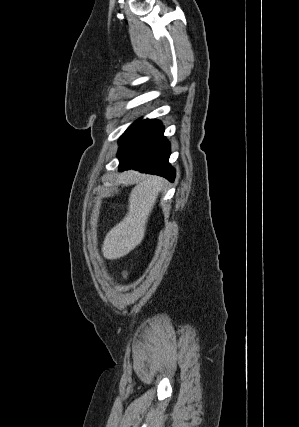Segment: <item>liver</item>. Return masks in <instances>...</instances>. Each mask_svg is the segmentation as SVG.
I'll use <instances>...</instances> for the list:
<instances>
[{
    "label": "liver",
    "mask_w": 299,
    "mask_h": 427,
    "mask_svg": "<svg viewBox=\"0 0 299 427\" xmlns=\"http://www.w3.org/2000/svg\"><path fill=\"white\" fill-rule=\"evenodd\" d=\"M127 175L138 178L139 182L130 193L125 218L104 239L102 253L109 260L127 255L142 242L148 218L164 185V179L157 176L139 175L135 171H128Z\"/></svg>",
    "instance_id": "1"
}]
</instances>
